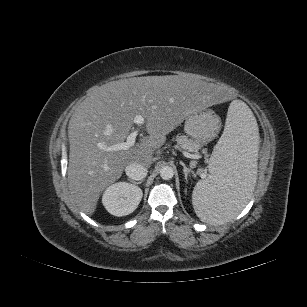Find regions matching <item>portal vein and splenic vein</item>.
I'll return each instance as SVG.
<instances>
[{"label":"portal vein and splenic vein","instance_id":"obj_1","mask_svg":"<svg viewBox=\"0 0 307 307\" xmlns=\"http://www.w3.org/2000/svg\"><path fill=\"white\" fill-rule=\"evenodd\" d=\"M134 123L137 125V128L127 136L126 142L118 143V144L111 145V146H105L104 144L99 143L98 147L107 152H111V151L127 150L130 147L134 146L136 137L139 134V130L141 126L144 124V117L140 114L136 115L134 117ZM202 177L204 178L205 174H203Z\"/></svg>","mask_w":307,"mask_h":307}]
</instances>
